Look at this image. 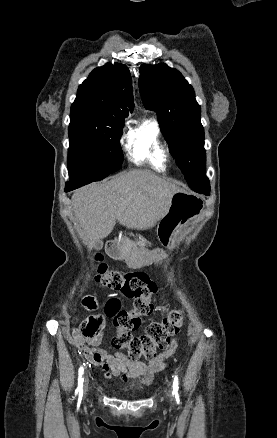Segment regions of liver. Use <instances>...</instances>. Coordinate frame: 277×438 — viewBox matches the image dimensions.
Wrapping results in <instances>:
<instances>
[{
  "label": "liver",
  "instance_id": "1",
  "mask_svg": "<svg viewBox=\"0 0 277 438\" xmlns=\"http://www.w3.org/2000/svg\"><path fill=\"white\" fill-rule=\"evenodd\" d=\"M176 192L180 190L173 184L145 170H131L110 182L75 190L73 210L87 248L107 238L116 222L137 230L154 228Z\"/></svg>",
  "mask_w": 277,
  "mask_h": 438
}]
</instances>
